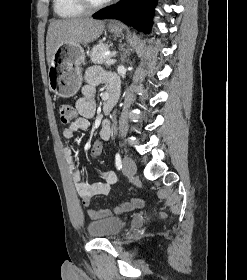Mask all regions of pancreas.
<instances>
[{"label":"pancreas","instance_id":"1","mask_svg":"<svg viewBox=\"0 0 247 280\" xmlns=\"http://www.w3.org/2000/svg\"><path fill=\"white\" fill-rule=\"evenodd\" d=\"M109 45L100 43L94 46L90 52L91 61L95 64H104L108 59H110V55L106 56L104 53L109 49Z\"/></svg>","mask_w":247,"mask_h":280}]
</instances>
